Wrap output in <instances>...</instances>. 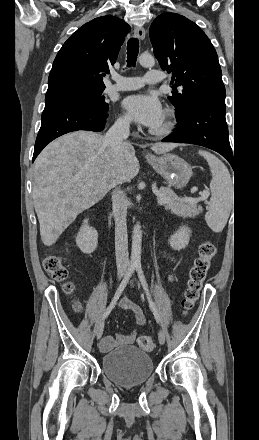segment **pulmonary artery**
<instances>
[{
    "label": "pulmonary artery",
    "instance_id": "1",
    "mask_svg": "<svg viewBox=\"0 0 259 440\" xmlns=\"http://www.w3.org/2000/svg\"><path fill=\"white\" fill-rule=\"evenodd\" d=\"M114 83L108 86L109 90L128 91L141 88L144 84H156L163 81V75L157 70L147 71L144 77H125L113 75Z\"/></svg>",
    "mask_w": 259,
    "mask_h": 440
}]
</instances>
